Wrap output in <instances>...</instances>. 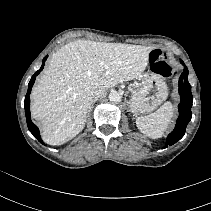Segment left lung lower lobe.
I'll use <instances>...</instances> for the list:
<instances>
[{"mask_svg":"<svg viewBox=\"0 0 211 211\" xmlns=\"http://www.w3.org/2000/svg\"><path fill=\"white\" fill-rule=\"evenodd\" d=\"M181 63L184 66V71L179 79V94L181 97V102L179 104V117L177 119L175 129L167 137L165 147L175 144L184 136L186 126L192 117L191 107L193 97L191 93V86L188 82V69L182 61Z\"/></svg>","mask_w":211,"mask_h":211,"instance_id":"0a47b994","label":"left lung lower lobe"}]
</instances>
